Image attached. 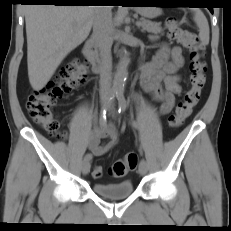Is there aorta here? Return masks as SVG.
Segmentation results:
<instances>
[{"label": "aorta", "mask_w": 231, "mask_h": 231, "mask_svg": "<svg viewBox=\"0 0 231 231\" xmlns=\"http://www.w3.org/2000/svg\"><path fill=\"white\" fill-rule=\"evenodd\" d=\"M128 64L129 58L125 52L124 56L120 60L113 81V86L116 91H122L124 89L125 81L128 77Z\"/></svg>", "instance_id": "1"}]
</instances>
